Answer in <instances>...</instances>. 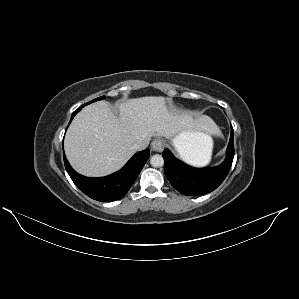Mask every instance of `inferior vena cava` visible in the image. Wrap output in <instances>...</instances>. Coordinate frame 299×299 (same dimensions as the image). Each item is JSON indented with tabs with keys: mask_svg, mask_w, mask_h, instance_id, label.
<instances>
[{
	"mask_svg": "<svg viewBox=\"0 0 299 299\" xmlns=\"http://www.w3.org/2000/svg\"><path fill=\"white\" fill-rule=\"evenodd\" d=\"M148 142L144 140H139L133 145V149L136 151L144 150L148 146Z\"/></svg>",
	"mask_w": 299,
	"mask_h": 299,
	"instance_id": "inferior-vena-cava-1",
	"label": "inferior vena cava"
}]
</instances>
